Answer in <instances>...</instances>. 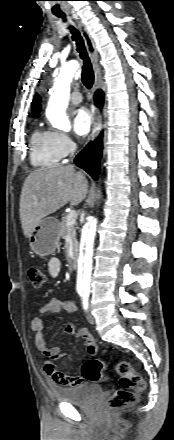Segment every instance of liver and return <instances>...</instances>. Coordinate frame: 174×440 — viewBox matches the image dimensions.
Here are the masks:
<instances>
[{
    "label": "liver",
    "instance_id": "obj_1",
    "mask_svg": "<svg viewBox=\"0 0 174 440\" xmlns=\"http://www.w3.org/2000/svg\"><path fill=\"white\" fill-rule=\"evenodd\" d=\"M88 192L85 175L72 165L40 168L24 181L20 196V220L25 237L40 221L66 205L81 203Z\"/></svg>",
    "mask_w": 174,
    "mask_h": 440
}]
</instances>
